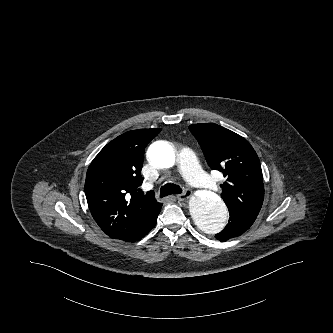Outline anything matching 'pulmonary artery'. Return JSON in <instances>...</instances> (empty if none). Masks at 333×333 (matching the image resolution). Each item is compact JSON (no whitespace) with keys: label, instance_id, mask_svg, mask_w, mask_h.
Wrapping results in <instances>:
<instances>
[{"label":"pulmonary artery","instance_id":"e3ab8cb5","mask_svg":"<svg viewBox=\"0 0 333 333\" xmlns=\"http://www.w3.org/2000/svg\"><path fill=\"white\" fill-rule=\"evenodd\" d=\"M178 167L183 177L193 186L217 191V184L201 169L195 154L188 148H184L178 155Z\"/></svg>","mask_w":333,"mask_h":333}]
</instances>
